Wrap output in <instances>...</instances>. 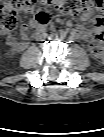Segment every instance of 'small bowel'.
<instances>
[{"label":"small bowel","mask_w":104,"mask_h":137,"mask_svg":"<svg viewBox=\"0 0 104 137\" xmlns=\"http://www.w3.org/2000/svg\"><path fill=\"white\" fill-rule=\"evenodd\" d=\"M81 20L83 22H96L98 18H95V16L92 13H84L81 16ZM30 29H35V30L41 29L39 26V23L35 19H33L29 25H26V24L22 25L21 37L19 40L16 39V37L12 34H6L7 47L14 51H21L22 49L27 47L30 41L33 39V33H31ZM71 35L75 39H79V40L87 42L90 51L97 59L103 58V52L94 51L93 44L96 41L92 39L90 33H88L84 28H81V27L74 28L71 31Z\"/></svg>","instance_id":"1"}]
</instances>
